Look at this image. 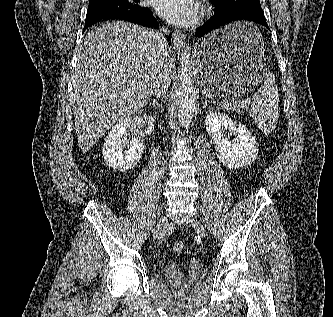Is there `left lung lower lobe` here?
<instances>
[{
	"instance_id": "1",
	"label": "left lung lower lobe",
	"mask_w": 333,
	"mask_h": 317,
	"mask_svg": "<svg viewBox=\"0 0 333 317\" xmlns=\"http://www.w3.org/2000/svg\"><path fill=\"white\" fill-rule=\"evenodd\" d=\"M236 21H251L269 29L260 4L235 7H217L214 14L202 26L196 29L199 38L205 34Z\"/></svg>"
}]
</instances>
